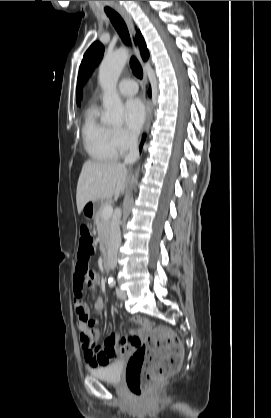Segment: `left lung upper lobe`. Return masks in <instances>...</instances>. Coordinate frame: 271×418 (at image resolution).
<instances>
[{
  "label": "left lung upper lobe",
  "instance_id": "obj_1",
  "mask_svg": "<svg viewBox=\"0 0 271 418\" xmlns=\"http://www.w3.org/2000/svg\"><path fill=\"white\" fill-rule=\"evenodd\" d=\"M104 47L100 42H94L84 55L79 68L78 83H85L93 68L101 60Z\"/></svg>",
  "mask_w": 271,
  "mask_h": 418
}]
</instances>
